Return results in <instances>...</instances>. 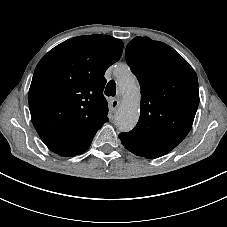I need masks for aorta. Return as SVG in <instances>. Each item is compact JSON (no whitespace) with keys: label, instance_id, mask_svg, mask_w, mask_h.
I'll return each instance as SVG.
<instances>
[{"label":"aorta","instance_id":"obj_1","mask_svg":"<svg viewBox=\"0 0 227 227\" xmlns=\"http://www.w3.org/2000/svg\"><path fill=\"white\" fill-rule=\"evenodd\" d=\"M115 75L123 97L115 114V122L120 131L128 132L136 126L139 119L140 88L128 66H118Z\"/></svg>","mask_w":227,"mask_h":227}]
</instances>
